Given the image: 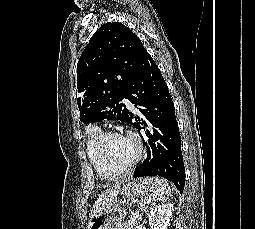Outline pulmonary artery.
I'll return each mask as SVG.
<instances>
[{
  "mask_svg": "<svg viewBox=\"0 0 255 229\" xmlns=\"http://www.w3.org/2000/svg\"><path fill=\"white\" fill-rule=\"evenodd\" d=\"M124 103H125L128 107L132 108V104L129 102L128 99H124Z\"/></svg>",
  "mask_w": 255,
  "mask_h": 229,
  "instance_id": "1",
  "label": "pulmonary artery"
}]
</instances>
